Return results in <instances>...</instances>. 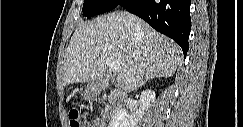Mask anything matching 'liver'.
I'll return each mask as SVG.
<instances>
[{
	"mask_svg": "<svg viewBox=\"0 0 243 127\" xmlns=\"http://www.w3.org/2000/svg\"><path fill=\"white\" fill-rule=\"evenodd\" d=\"M182 51L170 38L125 11L102 15L75 30L63 62V85L100 80L111 58L121 65L119 86L133 91L155 77L173 76Z\"/></svg>",
	"mask_w": 243,
	"mask_h": 127,
	"instance_id": "obj_1",
	"label": "liver"
}]
</instances>
